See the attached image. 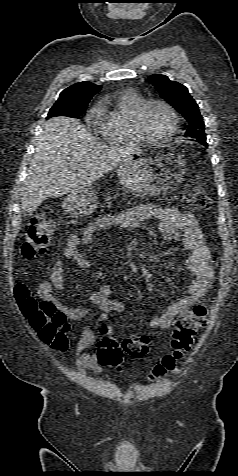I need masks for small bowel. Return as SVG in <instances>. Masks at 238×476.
I'll list each match as a JSON object with an SVG mask.
<instances>
[{"mask_svg":"<svg viewBox=\"0 0 238 476\" xmlns=\"http://www.w3.org/2000/svg\"><path fill=\"white\" fill-rule=\"evenodd\" d=\"M148 219L159 221L158 231L167 239H174L181 233L184 247L191 252L186 262L193 276V281L188 287V295L169 305L162 313L153 316L149 322L153 328L166 330L181 312L195 306L212 285L213 270L209 264L211 253L204 241L199 224L192 214L169 207L141 205L130 208L116 216H103L73 234L62 254L64 258L71 260L78 267L89 269L91 262L80 253L79 248L88 245L97 230L118 225L134 232L139 229L142 220ZM63 277V262L57 259L49 269V279H45L39 284L38 297L41 301L52 304L56 311L71 320L83 318L88 313L89 305L98 308L99 314L95 321L84 327L81 337L75 343L74 354L79 369L100 372L103 365L99 362L97 353L87 351V349L95 344L99 331L105 325L110 314L124 312L126 306L113 299L109 286L103 284L97 292L91 293L80 306L68 307L53 294L55 289L64 290Z\"/></svg>","mask_w":238,"mask_h":476,"instance_id":"obj_1","label":"small bowel"}]
</instances>
